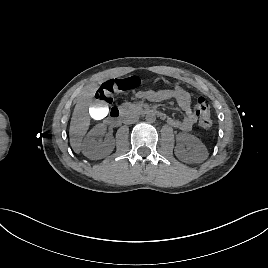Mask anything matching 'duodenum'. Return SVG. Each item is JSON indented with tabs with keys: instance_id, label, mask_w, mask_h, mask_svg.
I'll use <instances>...</instances> for the list:
<instances>
[{
	"instance_id": "1",
	"label": "duodenum",
	"mask_w": 268,
	"mask_h": 268,
	"mask_svg": "<svg viewBox=\"0 0 268 268\" xmlns=\"http://www.w3.org/2000/svg\"><path fill=\"white\" fill-rule=\"evenodd\" d=\"M134 111L138 114H152L159 117H164V114L155 109L139 106L134 109ZM124 115V111L119 107H112L109 111L108 122L111 124L119 123Z\"/></svg>"
}]
</instances>
